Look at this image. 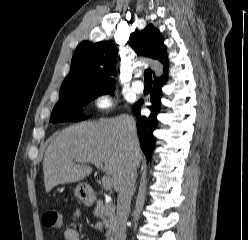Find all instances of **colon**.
Instances as JSON below:
<instances>
[{
    "mask_svg": "<svg viewBox=\"0 0 248 240\" xmlns=\"http://www.w3.org/2000/svg\"><path fill=\"white\" fill-rule=\"evenodd\" d=\"M42 221L47 228H60L63 223V217L59 211L52 209L45 212Z\"/></svg>",
    "mask_w": 248,
    "mask_h": 240,
    "instance_id": "colon-1",
    "label": "colon"
}]
</instances>
